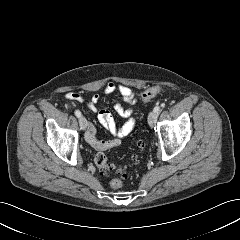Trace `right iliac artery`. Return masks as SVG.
<instances>
[{"instance_id":"82829eb1","label":"right iliac artery","mask_w":240,"mask_h":240,"mask_svg":"<svg viewBox=\"0 0 240 240\" xmlns=\"http://www.w3.org/2000/svg\"><path fill=\"white\" fill-rule=\"evenodd\" d=\"M75 115H76V117L80 118L81 117V112L79 110H75Z\"/></svg>"}]
</instances>
